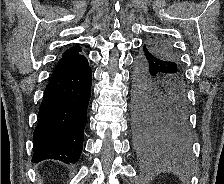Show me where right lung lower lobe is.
I'll return each mask as SVG.
<instances>
[{
	"mask_svg": "<svg viewBox=\"0 0 224 184\" xmlns=\"http://www.w3.org/2000/svg\"><path fill=\"white\" fill-rule=\"evenodd\" d=\"M91 81L88 62L77 69L52 73L33 134V163L55 159L69 164L79 160Z\"/></svg>",
	"mask_w": 224,
	"mask_h": 184,
	"instance_id": "98d812e1",
	"label": "right lung lower lobe"
}]
</instances>
